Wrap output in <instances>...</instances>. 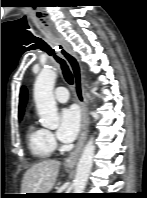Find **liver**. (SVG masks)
<instances>
[{"label": "liver", "mask_w": 147, "mask_h": 198, "mask_svg": "<svg viewBox=\"0 0 147 198\" xmlns=\"http://www.w3.org/2000/svg\"><path fill=\"white\" fill-rule=\"evenodd\" d=\"M59 166V161L45 160L29 168L23 176L22 194L48 193L56 182Z\"/></svg>", "instance_id": "liver-1"}]
</instances>
